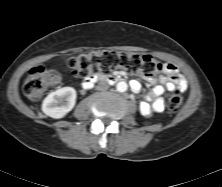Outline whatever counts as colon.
Segmentation results:
<instances>
[{
	"instance_id": "obj_1",
	"label": "colon",
	"mask_w": 222,
	"mask_h": 187,
	"mask_svg": "<svg viewBox=\"0 0 222 187\" xmlns=\"http://www.w3.org/2000/svg\"><path fill=\"white\" fill-rule=\"evenodd\" d=\"M68 65L74 73L84 80H89L99 74H108L116 69H123L131 74L152 76L163 69V64L149 55L104 51L92 52L72 57ZM61 75L43 66L33 68L24 85V94L30 101H38L43 95L60 86ZM182 96L178 92L169 94L167 109L171 113L179 110Z\"/></svg>"
}]
</instances>
